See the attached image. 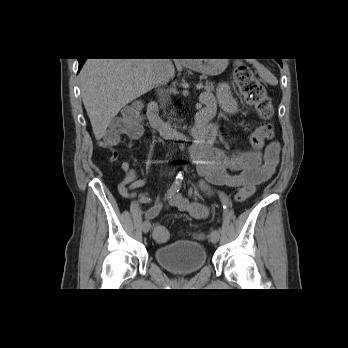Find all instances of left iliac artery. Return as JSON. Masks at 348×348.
I'll use <instances>...</instances> for the list:
<instances>
[{
    "label": "left iliac artery",
    "mask_w": 348,
    "mask_h": 348,
    "mask_svg": "<svg viewBox=\"0 0 348 348\" xmlns=\"http://www.w3.org/2000/svg\"><path fill=\"white\" fill-rule=\"evenodd\" d=\"M222 202H223V214H228V210H230V206H231V201L229 200L226 194L222 195Z\"/></svg>",
    "instance_id": "44dca946"
}]
</instances>
